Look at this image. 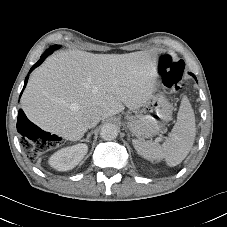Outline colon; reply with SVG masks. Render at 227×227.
<instances>
[{"label":"colon","mask_w":227,"mask_h":227,"mask_svg":"<svg viewBox=\"0 0 227 227\" xmlns=\"http://www.w3.org/2000/svg\"><path fill=\"white\" fill-rule=\"evenodd\" d=\"M156 71L167 87L174 91L182 88L185 71L183 61L175 60L169 54H163L158 59ZM31 139H33V144L25 143V151L30 158H34L38 153L47 151L53 145L51 135L45 132L37 131Z\"/></svg>","instance_id":"colon-1"}]
</instances>
